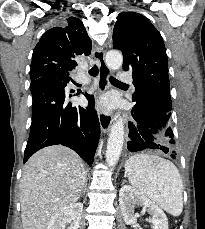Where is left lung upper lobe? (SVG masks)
I'll list each match as a JSON object with an SVG mask.
<instances>
[{
  "instance_id": "5c2ea615",
  "label": "left lung upper lobe",
  "mask_w": 205,
  "mask_h": 229,
  "mask_svg": "<svg viewBox=\"0 0 205 229\" xmlns=\"http://www.w3.org/2000/svg\"><path fill=\"white\" fill-rule=\"evenodd\" d=\"M113 48L123 53V70L132 71L135 106L150 105L171 111L168 61L163 39L143 15L122 12L113 31Z\"/></svg>"
}]
</instances>
